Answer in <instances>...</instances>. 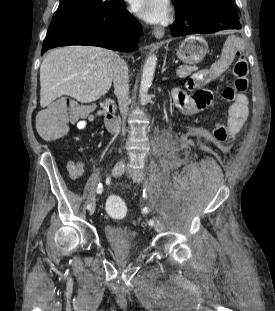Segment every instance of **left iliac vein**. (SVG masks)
Returning a JSON list of instances; mask_svg holds the SVG:
<instances>
[{
	"instance_id": "obj_1",
	"label": "left iliac vein",
	"mask_w": 275,
	"mask_h": 311,
	"mask_svg": "<svg viewBox=\"0 0 275 311\" xmlns=\"http://www.w3.org/2000/svg\"><path fill=\"white\" fill-rule=\"evenodd\" d=\"M132 178L137 183H141L143 181V176H142V174H141V172L139 170L134 172V173H132ZM154 229L157 232H162L164 230L162 222L159 219H157V218L154 219Z\"/></svg>"
}]
</instances>
